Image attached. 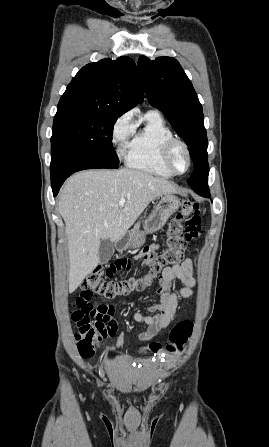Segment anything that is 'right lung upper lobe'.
<instances>
[{
	"label": "right lung upper lobe",
	"mask_w": 269,
	"mask_h": 447,
	"mask_svg": "<svg viewBox=\"0 0 269 447\" xmlns=\"http://www.w3.org/2000/svg\"><path fill=\"white\" fill-rule=\"evenodd\" d=\"M144 98L136 65L129 57L103 59L83 67L62 95L56 115L107 114L120 117Z\"/></svg>",
	"instance_id": "obj_1"
}]
</instances>
